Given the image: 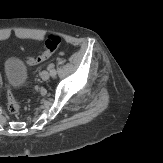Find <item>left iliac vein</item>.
<instances>
[{"mask_svg": "<svg viewBox=\"0 0 163 163\" xmlns=\"http://www.w3.org/2000/svg\"><path fill=\"white\" fill-rule=\"evenodd\" d=\"M41 79L47 81L50 78V73L47 70H44L40 74Z\"/></svg>", "mask_w": 163, "mask_h": 163, "instance_id": "left-iliac-vein-1", "label": "left iliac vein"}]
</instances>
